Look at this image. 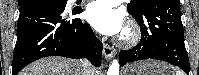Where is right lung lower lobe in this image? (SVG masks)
I'll return each mask as SVG.
<instances>
[{
    "label": "right lung lower lobe",
    "mask_w": 199,
    "mask_h": 75,
    "mask_svg": "<svg viewBox=\"0 0 199 75\" xmlns=\"http://www.w3.org/2000/svg\"><path fill=\"white\" fill-rule=\"evenodd\" d=\"M64 9L63 5L53 4L20 7L12 75L46 56L87 57L94 66L101 65L102 43L88 24L64 16ZM81 11H73L72 15Z\"/></svg>",
    "instance_id": "obj_1"
}]
</instances>
